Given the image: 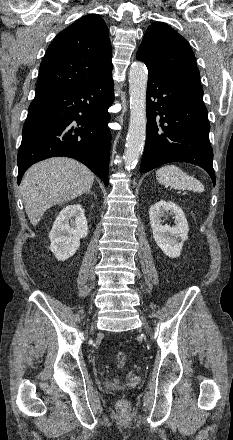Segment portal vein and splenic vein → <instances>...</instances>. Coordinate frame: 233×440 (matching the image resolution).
<instances>
[{
  "instance_id": "portal-vein-and-splenic-vein-1",
  "label": "portal vein and splenic vein",
  "mask_w": 233,
  "mask_h": 440,
  "mask_svg": "<svg viewBox=\"0 0 233 440\" xmlns=\"http://www.w3.org/2000/svg\"><path fill=\"white\" fill-rule=\"evenodd\" d=\"M179 193H183V194H185V192H181V191H180Z\"/></svg>"
}]
</instances>
